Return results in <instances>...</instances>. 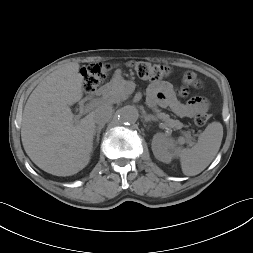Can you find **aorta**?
Listing matches in <instances>:
<instances>
[{
  "label": "aorta",
  "mask_w": 253,
  "mask_h": 253,
  "mask_svg": "<svg viewBox=\"0 0 253 253\" xmlns=\"http://www.w3.org/2000/svg\"><path fill=\"white\" fill-rule=\"evenodd\" d=\"M139 117V113L134 106H124L118 112V120L124 124H134Z\"/></svg>",
  "instance_id": "aorta-1"
}]
</instances>
